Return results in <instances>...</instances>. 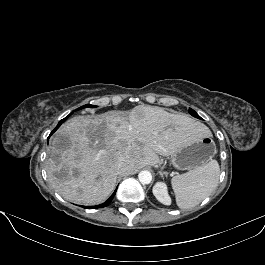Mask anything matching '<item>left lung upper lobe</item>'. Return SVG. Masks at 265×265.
<instances>
[{"mask_svg": "<svg viewBox=\"0 0 265 265\" xmlns=\"http://www.w3.org/2000/svg\"><path fill=\"white\" fill-rule=\"evenodd\" d=\"M189 113L196 118H200V116L191 108H189Z\"/></svg>", "mask_w": 265, "mask_h": 265, "instance_id": "1", "label": "left lung upper lobe"}]
</instances>
